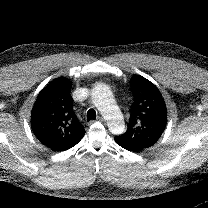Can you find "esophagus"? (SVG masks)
Wrapping results in <instances>:
<instances>
[{
    "instance_id": "34e87169",
    "label": "esophagus",
    "mask_w": 208,
    "mask_h": 208,
    "mask_svg": "<svg viewBox=\"0 0 208 208\" xmlns=\"http://www.w3.org/2000/svg\"><path fill=\"white\" fill-rule=\"evenodd\" d=\"M97 121H99V122H104V118L101 117V116H99V117H97Z\"/></svg>"
}]
</instances>
